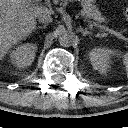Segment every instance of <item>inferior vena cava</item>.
<instances>
[{
    "label": "inferior vena cava",
    "mask_w": 128,
    "mask_h": 128,
    "mask_svg": "<svg viewBox=\"0 0 128 128\" xmlns=\"http://www.w3.org/2000/svg\"><path fill=\"white\" fill-rule=\"evenodd\" d=\"M37 17L40 23L48 24L52 21L50 10L39 13Z\"/></svg>",
    "instance_id": "inferior-vena-cava-1"
}]
</instances>
